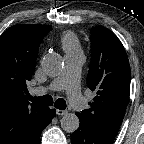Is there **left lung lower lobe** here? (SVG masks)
I'll list each match as a JSON object with an SVG mask.
<instances>
[{
	"mask_svg": "<svg viewBox=\"0 0 144 144\" xmlns=\"http://www.w3.org/2000/svg\"><path fill=\"white\" fill-rule=\"evenodd\" d=\"M115 137L99 133L82 120L79 128L71 134L72 144H113Z\"/></svg>",
	"mask_w": 144,
	"mask_h": 144,
	"instance_id": "obj_1",
	"label": "left lung lower lobe"
}]
</instances>
